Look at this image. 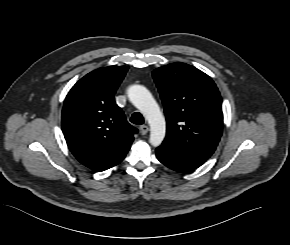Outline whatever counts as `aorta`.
I'll return each mask as SVG.
<instances>
[{
	"instance_id": "obj_1",
	"label": "aorta",
	"mask_w": 290,
	"mask_h": 245,
	"mask_svg": "<svg viewBox=\"0 0 290 245\" xmlns=\"http://www.w3.org/2000/svg\"><path fill=\"white\" fill-rule=\"evenodd\" d=\"M128 97L147 119L150 126V144L159 146L166 133L165 118L151 93L144 86L133 85L128 89Z\"/></svg>"
}]
</instances>
